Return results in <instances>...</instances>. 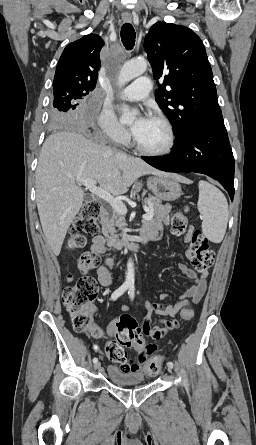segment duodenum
<instances>
[{
	"instance_id": "obj_1",
	"label": "duodenum",
	"mask_w": 256,
	"mask_h": 445,
	"mask_svg": "<svg viewBox=\"0 0 256 445\" xmlns=\"http://www.w3.org/2000/svg\"><path fill=\"white\" fill-rule=\"evenodd\" d=\"M105 215L106 210L105 208L101 207L100 218L103 219ZM148 239L149 236L142 235L140 240H123L118 237H110L108 241L109 245L116 250H120L123 248L138 250Z\"/></svg>"
}]
</instances>
